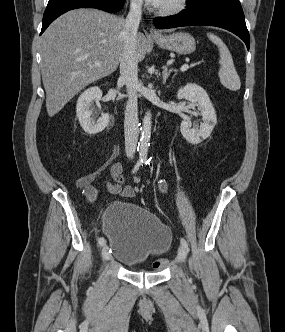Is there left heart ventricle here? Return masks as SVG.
I'll list each match as a JSON object with an SVG mask.
<instances>
[{"label":"left heart ventricle","mask_w":285,"mask_h":332,"mask_svg":"<svg viewBox=\"0 0 285 332\" xmlns=\"http://www.w3.org/2000/svg\"><path fill=\"white\" fill-rule=\"evenodd\" d=\"M176 0H166L162 7H168L172 5Z\"/></svg>","instance_id":"b2bd125f"}]
</instances>
